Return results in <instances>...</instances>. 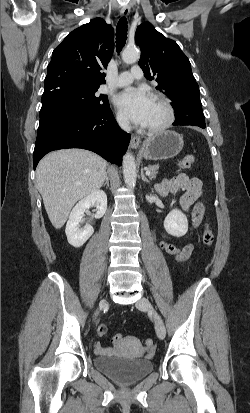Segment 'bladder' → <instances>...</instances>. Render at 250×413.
<instances>
[{
	"mask_svg": "<svg viewBox=\"0 0 250 413\" xmlns=\"http://www.w3.org/2000/svg\"><path fill=\"white\" fill-rule=\"evenodd\" d=\"M93 363L98 370L121 384L138 382L153 370L152 361L145 358L99 355Z\"/></svg>",
	"mask_w": 250,
	"mask_h": 413,
	"instance_id": "obj_1",
	"label": "bladder"
}]
</instances>
